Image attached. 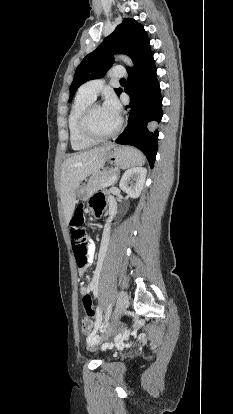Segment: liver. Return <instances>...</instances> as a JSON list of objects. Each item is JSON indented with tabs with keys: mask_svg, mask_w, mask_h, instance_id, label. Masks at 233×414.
Here are the masks:
<instances>
[{
	"mask_svg": "<svg viewBox=\"0 0 233 414\" xmlns=\"http://www.w3.org/2000/svg\"><path fill=\"white\" fill-rule=\"evenodd\" d=\"M114 145L96 147L76 153L63 162L61 170V202L68 222L76 204V190L89 175L98 172L105 164L107 152Z\"/></svg>",
	"mask_w": 233,
	"mask_h": 414,
	"instance_id": "liver-1",
	"label": "liver"
}]
</instances>
